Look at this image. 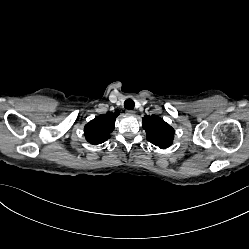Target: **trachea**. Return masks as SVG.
Listing matches in <instances>:
<instances>
[{
  "label": "trachea",
  "instance_id": "3493384b",
  "mask_svg": "<svg viewBox=\"0 0 249 249\" xmlns=\"http://www.w3.org/2000/svg\"><path fill=\"white\" fill-rule=\"evenodd\" d=\"M135 106V103L132 99H127L125 102H124V107L126 109H129V110H132Z\"/></svg>",
  "mask_w": 249,
  "mask_h": 249
}]
</instances>
